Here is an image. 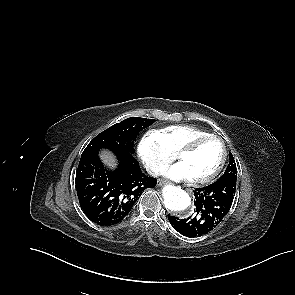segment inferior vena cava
I'll return each instance as SVG.
<instances>
[{"label": "inferior vena cava", "mask_w": 295, "mask_h": 295, "mask_svg": "<svg viewBox=\"0 0 295 295\" xmlns=\"http://www.w3.org/2000/svg\"><path fill=\"white\" fill-rule=\"evenodd\" d=\"M147 172L152 176H158L160 173V170L158 167H148Z\"/></svg>", "instance_id": "inferior-vena-cava-1"}]
</instances>
